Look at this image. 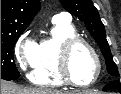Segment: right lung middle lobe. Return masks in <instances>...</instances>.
I'll list each match as a JSON object with an SVG mask.
<instances>
[{
    "label": "right lung middle lobe",
    "mask_w": 121,
    "mask_h": 94,
    "mask_svg": "<svg viewBox=\"0 0 121 94\" xmlns=\"http://www.w3.org/2000/svg\"><path fill=\"white\" fill-rule=\"evenodd\" d=\"M24 30L1 33V79L14 80L20 76L13 61V49Z\"/></svg>",
    "instance_id": "obj_1"
}]
</instances>
